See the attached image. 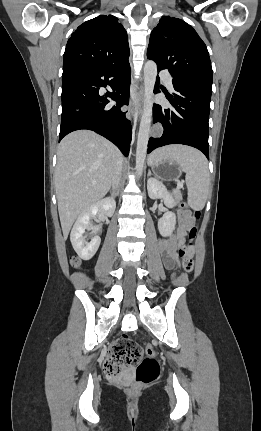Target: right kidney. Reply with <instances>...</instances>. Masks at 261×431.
Wrapping results in <instances>:
<instances>
[{
	"label": "right kidney",
	"instance_id": "obj_1",
	"mask_svg": "<svg viewBox=\"0 0 261 431\" xmlns=\"http://www.w3.org/2000/svg\"><path fill=\"white\" fill-rule=\"evenodd\" d=\"M116 202L113 198H104L85 209L77 218L70 234L72 246L83 260H90L97 252L101 239L93 235L86 242L84 233L92 229V219L97 216L111 217L114 214Z\"/></svg>",
	"mask_w": 261,
	"mask_h": 431
}]
</instances>
